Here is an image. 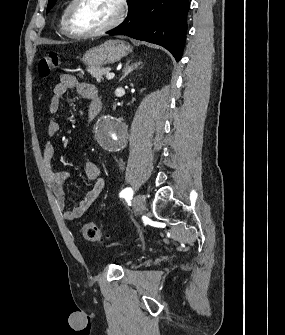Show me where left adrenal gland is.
Segmentation results:
<instances>
[{"label": "left adrenal gland", "mask_w": 285, "mask_h": 335, "mask_svg": "<svg viewBox=\"0 0 285 335\" xmlns=\"http://www.w3.org/2000/svg\"><path fill=\"white\" fill-rule=\"evenodd\" d=\"M130 62L131 60H127L125 64V68H123L122 70L123 76H121L119 82H122L123 78H126L128 74H131V72H134V70H136V68H138V66H141L142 64V62H136V64H132V66H130Z\"/></svg>", "instance_id": "left-adrenal-gland-1"}]
</instances>
